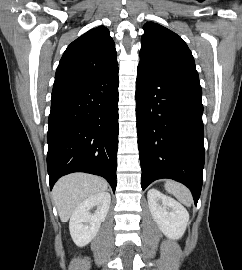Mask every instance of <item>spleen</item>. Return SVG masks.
I'll use <instances>...</instances> for the list:
<instances>
[{
	"instance_id": "spleen-1",
	"label": "spleen",
	"mask_w": 242,
	"mask_h": 270,
	"mask_svg": "<svg viewBox=\"0 0 242 270\" xmlns=\"http://www.w3.org/2000/svg\"><path fill=\"white\" fill-rule=\"evenodd\" d=\"M165 189L168 193L176 197L181 203L186 206H191L192 195L184 185L177 183L175 181H166Z\"/></svg>"
}]
</instances>
